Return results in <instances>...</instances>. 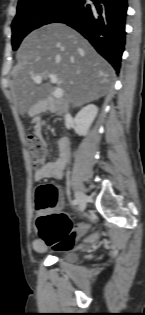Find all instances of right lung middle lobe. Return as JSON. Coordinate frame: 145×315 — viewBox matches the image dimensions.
<instances>
[{
  "label": "right lung middle lobe",
  "mask_w": 145,
  "mask_h": 315,
  "mask_svg": "<svg viewBox=\"0 0 145 315\" xmlns=\"http://www.w3.org/2000/svg\"><path fill=\"white\" fill-rule=\"evenodd\" d=\"M73 0H26L18 3L12 22V46L16 50L24 37L34 29L53 23Z\"/></svg>",
  "instance_id": "right-lung-middle-lobe-1"
}]
</instances>
